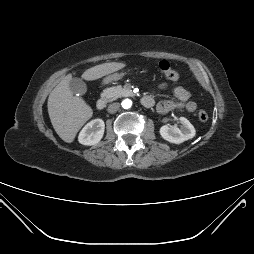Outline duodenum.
Returning <instances> with one entry per match:
<instances>
[{
	"label": "duodenum",
	"instance_id": "obj_1",
	"mask_svg": "<svg viewBox=\"0 0 254 254\" xmlns=\"http://www.w3.org/2000/svg\"><path fill=\"white\" fill-rule=\"evenodd\" d=\"M141 103L143 106L149 108L154 105V100L150 96H145L141 99ZM106 105H107V100L104 97L99 98L96 102V107L99 110H103L106 107Z\"/></svg>",
	"mask_w": 254,
	"mask_h": 254
}]
</instances>
